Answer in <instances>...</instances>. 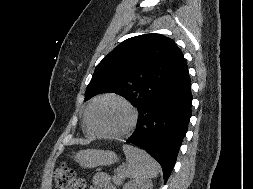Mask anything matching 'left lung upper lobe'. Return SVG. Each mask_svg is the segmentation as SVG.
<instances>
[{
  "label": "left lung upper lobe",
  "instance_id": "obj_1",
  "mask_svg": "<svg viewBox=\"0 0 253 189\" xmlns=\"http://www.w3.org/2000/svg\"><path fill=\"white\" fill-rule=\"evenodd\" d=\"M175 42L161 34H144L119 44L95 68L85 101L105 92L119 94L138 111L164 89L185 66Z\"/></svg>",
  "mask_w": 253,
  "mask_h": 189
}]
</instances>
